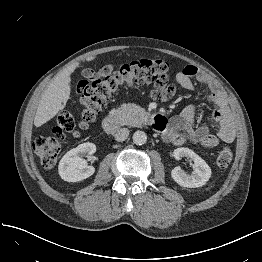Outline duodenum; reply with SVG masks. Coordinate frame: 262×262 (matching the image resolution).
<instances>
[{
  "instance_id": "410a0bca",
  "label": "duodenum",
  "mask_w": 262,
  "mask_h": 262,
  "mask_svg": "<svg viewBox=\"0 0 262 262\" xmlns=\"http://www.w3.org/2000/svg\"><path fill=\"white\" fill-rule=\"evenodd\" d=\"M163 118H152L150 120V123L153 127L157 128L159 127L162 123H163ZM102 126H103V129L107 132V133H115L119 130L120 128V121L118 119L117 116L115 115H109V116H106L104 119H103V122H102Z\"/></svg>"
}]
</instances>
